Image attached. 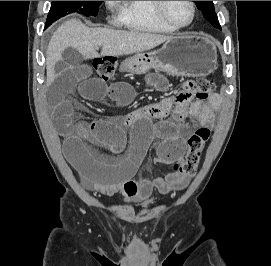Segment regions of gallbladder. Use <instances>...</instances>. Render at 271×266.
I'll return each mask as SVG.
<instances>
[{"label":"gallbladder","instance_id":"obj_1","mask_svg":"<svg viewBox=\"0 0 271 266\" xmlns=\"http://www.w3.org/2000/svg\"><path fill=\"white\" fill-rule=\"evenodd\" d=\"M83 60V56L76 49L69 47L63 51L62 59L56 63L55 72L62 76L67 69L81 64Z\"/></svg>","mask_w":271,"mask_h":266}]
</instances>
